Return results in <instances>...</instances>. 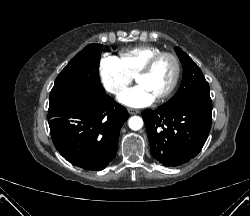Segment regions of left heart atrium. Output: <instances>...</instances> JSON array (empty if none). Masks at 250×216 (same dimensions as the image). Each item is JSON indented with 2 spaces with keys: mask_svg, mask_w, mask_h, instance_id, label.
<instances>
[{
  "mask_svg": "<svg viewBox=\"0 0 250 216\" xmlns=\"http://www.w3.org/2000/svg\"><path fill=\"white\" fill-rule=\"evenodd\" d=\"M154 96L142 84H138L119 97V102L133 108L145 107L152 103Z\"/></svg>",
  "mask_w": 250,
  "mask_h": 216,
  "instance_id": "obj_1",
  "label": "left heart atrium"
}]
</instances>
